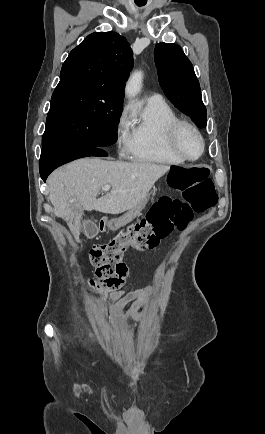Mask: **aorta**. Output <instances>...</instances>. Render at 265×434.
I'll return each instance as SVG.
<instances>
[{"mask_svg": "<svg viewBox=\"0 0 265 434\" xmlns=\"http://www.w3.org/2000/svg\"><path fill=\"white\" fill-rule=\"evenodd\" d=\"M143 72H134L131 74L125 88L127 98H135L142 90Z\"/></svg>", "mask_w": 265, "mask_h": 434, "instance_id": "1", "label": "aorta"}]
</instances>
